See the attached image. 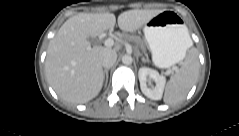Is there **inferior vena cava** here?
<instances>
[{
    "label": "inferior vena cava",
    "instance_id": "602c4592",
    "mask_svg": "<svg viewBox=\"0 0 239 136\" xmlns=\"http://www.w3.org/2000/svg\"><path fill=\"white\" fill-rule=\"evenodd\" d=\"M116 60H117V54L112 49H104L99 54L100 64L104 68L112 67L114 65V63L116 62Z\"/></svg>",
    "mask_w": 239,
    "mask_h": 136
}]
</instances>
